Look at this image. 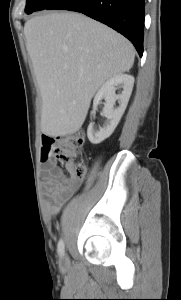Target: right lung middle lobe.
Here are the masks:
<instances>
[{
    "mask_svg": "<svg viewBox=\"0 0 181 300\" xmlns=\"http://www.w3.org/2000/svg\"><path fill=\"white\" fill-rule=\"evenodd\" d=\"M55 0H27L25 12L31 14L35 11L44 10L47 6L53 3Z\"/></svg>",
    "mask_w": 181,
    "mask_h": 300,
    "instance_id": "1",
    "label": "right lung middle lobe"
}]
</instances>
